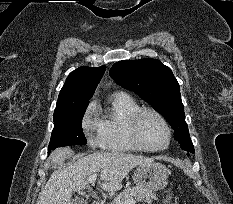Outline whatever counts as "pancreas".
Instances as JSON below:
<instances>
[{
    "label": "pancreas",
    "mask_w": 233,
    "mask_h": 204,
    "mask_svg": "<svg viewBox=\"0 0 233 204\" xmlns=\"http://www.w3.org/2000/svg\"><path fill=\"white\" fill-rule=\"evenodd\" d=\"M131 200L151 204L154 200H157V197L155 193L145 188H126L110 204H125Z\"/></svg>",
    "instance_id": "1"
}]
</instances>
